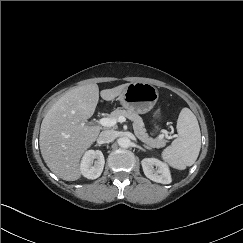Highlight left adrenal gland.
Masks as SVG:
<instances>
[{"mask_svg": "<svg viewBox=\"0 0 243 243\" xmlns=\"http://www.w3.org/2000/svg\"><path fill=\"white\" fill-rule=\"evenodd\" d=\"M144 148H146V149H150L149 147H147V146H145V145H144Z\"/></svg>", "mask_w": 243, "mask_h": 243, "instance_id": "a2214340", "label": "left adrenal gland"}]
</instances>
